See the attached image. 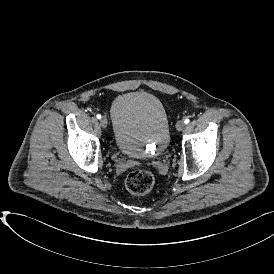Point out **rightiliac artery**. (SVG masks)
Segmentation results:
<instances>
[{"instance_id": "obj_1", "label": "right iliac artery", "mask_w": 274, "mask_h": 274, "mask_svg": "<svg viewBox=\"0 0 274 274\" xmlns=\"http://www.w3.org/2000/svg\"><path fill=\"white\" fill-rule=\"evenodd\" d=\"M96 117H97L98 119H101V115H100V114H97Z\"/></svg>"}]
</instances>
